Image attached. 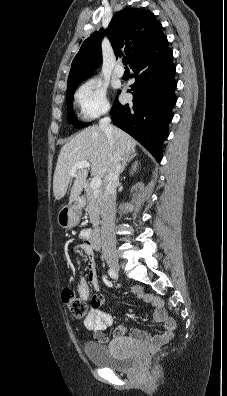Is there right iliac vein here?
<instances>
[{
	"mask_svg": "<svg viewBox=\"0 0 227 396\" xmlns=\"http://www.w3.org/2000/svg\"><path fill=\"white\" fill-rule=\"evenodd\" d=\"M108 265H109V267L112 269V270H118L119 269V263H118V261H116V260H109L108 261Z\"/></svg>",
	"mask_w": 227,
	"mask_h": 396,
	"instance_id": "right-iliac-vein-1",
	"label": "right iliac vein"
}]
</instances>
